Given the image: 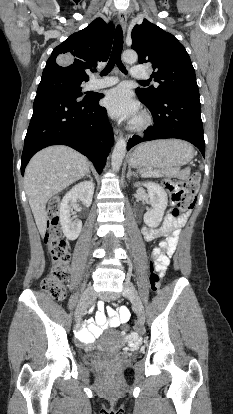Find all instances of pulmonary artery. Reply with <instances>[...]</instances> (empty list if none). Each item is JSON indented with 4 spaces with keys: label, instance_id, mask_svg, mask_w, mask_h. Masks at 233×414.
Here are the masks:
<instances>
[{
    "label": "pulmonary artery",
    "instance_id": "pulmonary-artery-1",
    "mask_svg": "<svg viewBox=\"0 0 233 414\" xmlns=\"http://www.w3.org/2000/svg\"><path fill=\"white\" fill-rule=\"evenodd\" d=\"M131 76L134 78H143V79H147L149 78V73L140 68V67H133L131 69ZM118 82V79L116 77L110 76V77H104L101 79H94L90 82L89 87L91 89H98V88H103V87H107V86H112L114 84H116Z\"/></svg>",
    "mask_w": 233,
    "mask_h": 414
}]
</instances>
